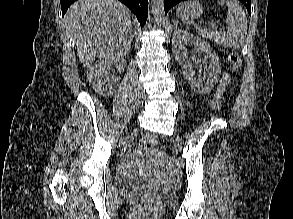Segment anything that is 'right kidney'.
<instances>
[{"mask_svg": "<svg viewBox=\"0 0 293 219\" xmlns=\"http://www.w3.org/2000/svg\"><path fill=\"white\" fill-rule=\"evenodd\" d=\"M115 63L119 64V71H121L124 59L119 57H100L87 72L89 83L102 96L109 97L116 91L118 76L108 77V70Z\"/></svg>", "mask_w": 293, "mask_h": 219, "instance_id": "right-kidney-1", "label": "right kidney"}]
</instances>
